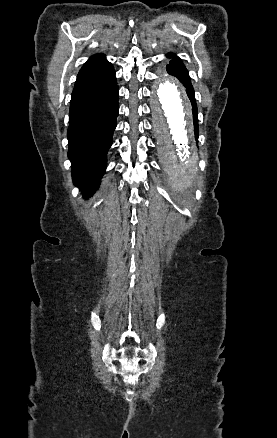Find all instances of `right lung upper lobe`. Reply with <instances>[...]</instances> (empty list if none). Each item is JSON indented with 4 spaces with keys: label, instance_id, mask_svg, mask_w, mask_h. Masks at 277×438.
I'll use <instances>...</instances> for the list:
<instances>
[{
    "label": "right lung upper lobe",
    "instance_id": "1",
    "mask_svg": "<svg viewBox=\"0 0 277 438\" xmlns=\"http://www.w3.org/2000/svg\"><path fill=\"white\" fill-rule=\"evenodd\" d=\"M112 70V64L106 61L103 54H95L81 68L75 84L107 74Z\"/></svg>",
    "mask_w": 277,
    "mask_h": 438
}]
</instances>
